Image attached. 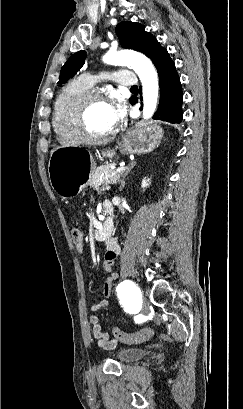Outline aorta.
<instances>
[{"label":"aorta","instance_id":"obj_1","mask_svg":"<svg viewBox=\"0 0 243 409\" xmlns=\"http://www.w3.org/2000/svg\"><path fill=\"white\" fill-rule=\"evenodd\" d=\"M103 61L109 65H122L132 68L138 75L143 89V118L153 116L158 99V76L157 72L146 56L132 51L108 52Z\"/></svg>","mask_w":243,"mask_h":409}]
</instances>
